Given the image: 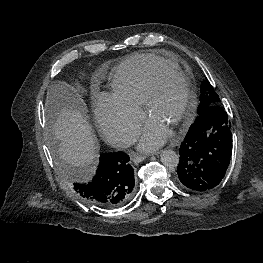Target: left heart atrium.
Returning <instances> with one entry per match:
<instances>
[{
    "mask_svg": "<svg viewBox=\"0 0 263 263\" xmlns=\"http://www.w3.org/2000/svg\"><path fill=\"white\" fill-rule=\"evenodd\" d=\"M167 137V131L160 124L150 120L143 130L139 147L142 150L155 149L161 146Z\"/></svg>",
    "mask_w": 263,
    "mask_h": 263,
    "instance_id": "39dd6f15",
    "label": "left heart atrium"
}]
</instances>
